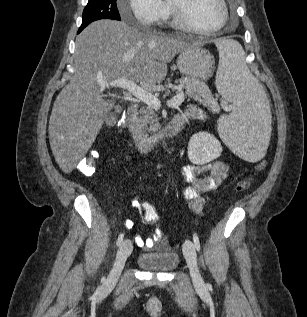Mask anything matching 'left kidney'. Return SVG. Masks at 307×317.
Returning <instances> with one entry per match:
<instances>
[{
    "mask_svg": "<svg viewBox=\"0 0 307 317\" xmlns=\"http://www.w3.org/2000/svg\"><path fill=\"white\" fill-rule=\"evenodd\" d=\"M221 153V143L208 132H198L190 138L188 157L193 164H207L218 158Z\"/></svg>",
    "mask_w": 307,
    "mask_h": 317,
    "instance_id": "1",
    "label": "left kidney"
}]
</instances>
